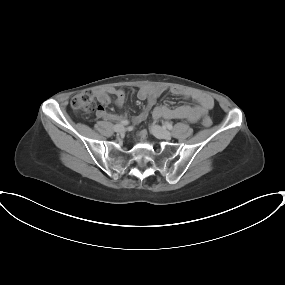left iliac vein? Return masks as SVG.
Returning <instances> with one entry per match:
<instances>
[{
  "label": "left iliac vein",
  "instance_id": "left-iliac-vein-1",
  "mask_svg": "<svg viewBox=\"0 0 285 285\" xmlns=\"http://www.w3.org/2000/svg\"><path fill=\"white\" fill-rule=\"evenodd\" d=\"M151 132L159 139H171V133L159 125H153L151 127Z\"/></svg>",
  "mask_w": 285,
  "mask_h": 285
}]
</instances>
